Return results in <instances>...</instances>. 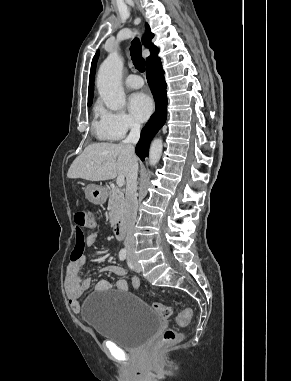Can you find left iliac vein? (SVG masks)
Instances as JSON below:
<instances>
[{
  "label": "left iliac vein",
  "mask_w": 291,
  "mask_h": 381,
  "mask_svg": "<svg viewBox=\"0 0 291 381\" xmlns=\"http://www.w3.org/2000/svg\"><path fill=\"white\" fill-rule=\"evenodd\" d=\"M133 269H134L135 272H140L141 271V266H140V264L136 260L133 261Z\"/></svg>",
  "instance_id": "left-iliac-vein-1"
}]
</instances>
